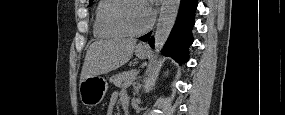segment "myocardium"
Here are the masks:
<instances>
[{
  "label": "myocardium",
  "mask_w": 285,
  "mask_h": 115,
  "mask_svg": "<svg viewBox=\"0 0 285 115\" xmlns=\"http://www.w3.org/2000/svg\"><path fill=\"white\" fill-rule=\"evenodd\" d=\"M137 0H118L108 11L107 13V21L122 32L126 36H138L144 34L148 31L150 24H147L144 28L140 30H131L129 29L121 20L120 13L124 9L125 5L130 2H135ZM140 2V1H137Z\"/></svg>",
  "instance_id": "1"
}]
</instances>
